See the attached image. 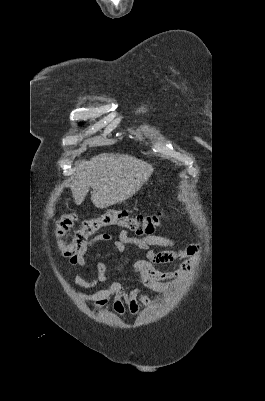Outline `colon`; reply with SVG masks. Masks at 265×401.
<instances>
[{
	"label": "colon",
	"instance_id": "1",
	"mask_svg": "<svg viewBox=\"0 0 265 401\" xmlns=\"http://www.w3.org/2000/svg\"><path fill=\"white\" fill-rule=\"evenodd\" d=\"M165 218V214L161 212L153 215L130 216L126 211L109 210L98 217L85 220L81 229L76 232L73 241L66 243L63 238L77 219L76 214L70 213L64 214L57 220L54 234L61 253L66 257H71L83 250L89 237L103 227L116 225L127 228L137 235H150Z\"/></svg>",
	"mask_w": 265,
	"mask_h": 401
}]
</instances>
